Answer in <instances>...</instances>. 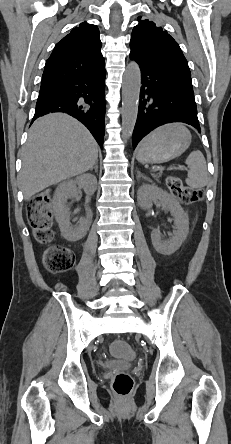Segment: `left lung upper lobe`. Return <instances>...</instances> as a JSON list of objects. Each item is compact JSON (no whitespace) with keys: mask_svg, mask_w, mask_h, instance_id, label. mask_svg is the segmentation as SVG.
<instances>
[{"mask_svg":"<svg viewBox=\"0 0 231 444\" xmlns=\"http://www.w3.org/2000/svg\"><path fill=\"white\" fill-rule=\"evenodd\" d=\"M138 21L131 35L130 58L139 65L168 70L179 80L192 84L188 62L178 43L154 22L141 20V17Z\"/></svg>","mask_w":231,"mask_h":444,"instance_id":"left-lung-upper-lobe-1","label":"left lung upper lobe"}]
</instances>
